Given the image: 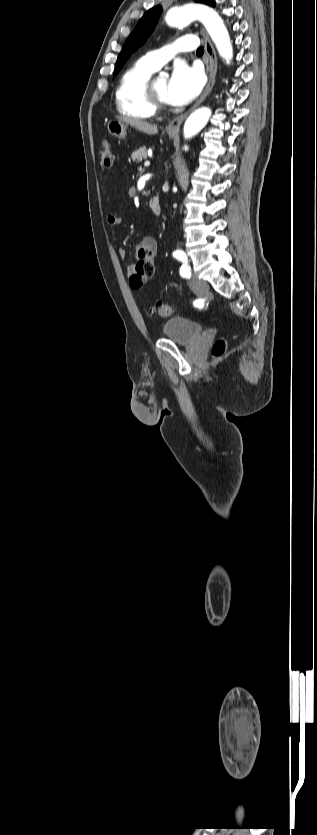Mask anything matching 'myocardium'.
<instances>
[{"label":"myocardium","instance_id":"1","mask_svg":"<svg viewBox=\"0 0 317 835\" xmlns=\"http://www.w3.org/2000/svg\"><path fill=\"white\" fill-rule=\"evenodd\" d=\"M155 79L150 78L146 85V95L148 100L156 110H162L167 107V102L159 97L154 88Z\"/></svg>","mask_w":317,"mask_h":835}]
</instances>
